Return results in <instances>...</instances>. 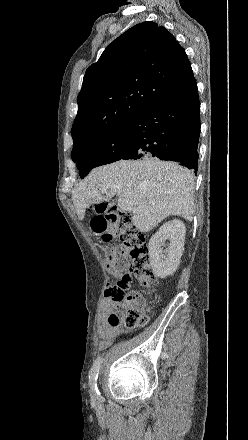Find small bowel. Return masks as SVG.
Here are the masks:
<instances>
[{
  "label": "small bowel",
  "mask_w": 248,
  "mask_h": 440,
  "mask_svg": "<svg viewBox=\"0 0 248 440\" xmlns=\"http://www.w3.org/2000/svg\"><path fill=\"white\" fill-rule=\"evenodd\" d=\"M113 309L114 307L105 301L99 314L97 331L100 337L99 348L101 350L107 349L120 333L118 326H111L107 320Z\"/></svg>",
  "instance_id": "1"
}]
</instances>
